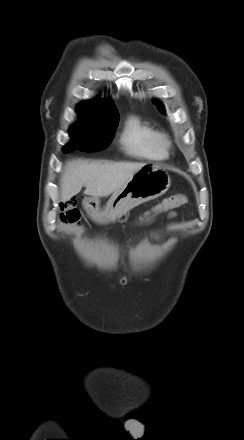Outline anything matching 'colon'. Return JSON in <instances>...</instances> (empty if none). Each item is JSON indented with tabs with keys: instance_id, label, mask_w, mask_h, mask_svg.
<instances>
[{
	"instance_id": "5ec220e1",
	"label": "colon",
	"mask_w": 244,
	"mask_h": 440,
	"mask_svg": "<svg viewBox=\"0 0 244 440\" xmlns=\"http://www.w3.org/2000/svg\"><path fill=\"white\" fill-rule=\"evenodd\" d=\"M187 202L186 196L182 194H175L166 199L161 203L154 206L150 210L146 211L142 216L136 221L137 226H144L152 223L161 214L179 207ZM60 219L67 224H77L80 219V212L77 208L76 201L73 199L64 201L60 204Z\"/></svg>"
}]
</instances>
